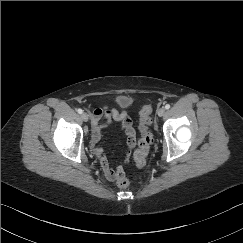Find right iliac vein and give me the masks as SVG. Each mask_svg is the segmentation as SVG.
<instances>
[{
    "label": "right iliac vein",
    "mask_w": 243,
    "mask_h": 243,
    "mask_svg": "<svg viewBox=\"0 0 243 243\" xmlns=\"http://www.w3.org/2000/svg\"><path fill=\"white\" fill-rule=\"evenodd\" d=\"M81 117H82L83 121H85V122H87V121L89 120V116H88L87 113H83V114L81 115Z\"/></svg>",
    "instance_id": "1"
}]
</instances>
